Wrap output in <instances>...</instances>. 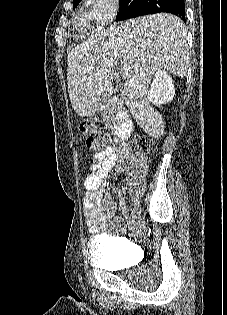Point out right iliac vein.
Listing matches in <instances>:
<instances>
[{
  "instance_id": "obj_1",
  "label": "right iliac vein",
  "mask_w": 227,
  "mask_h": 315,
  "mask_svg": "<svg viewBox=\"0 0 227 315\" xmlns=\"http://www.w3.org/2000/svg\"><path fill=\"white\" fill-rule=\"evenodd\" d=\"M140 215H141V207L140 205H138L133 212V218H138Z\"/></svg>"
}]
</instances>
